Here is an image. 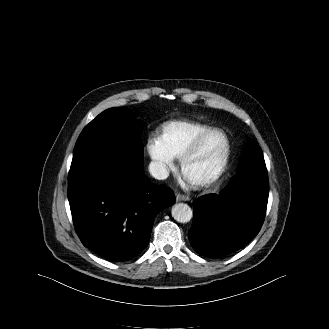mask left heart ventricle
Segmentation results:
<instances>
[{
	"label": "left heart ventricle",
	"mask_w": 329,
	"mask_h": 329,
	"mask_svg": "<svg viewBox=\"0 0 329 329\" xmlns=\"http://www.w3.org/2000/svg\"><path fill=\"white\" fill-rule=\"evenodd\" d=\"M225 148L226 141L222 134L214 133L209 136L186 164L185 177L191 181H199L211 176L219 167Z\"/></svg>",
	"instance_id": "left-heart-ventricle-1"
}]
</instances>
